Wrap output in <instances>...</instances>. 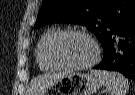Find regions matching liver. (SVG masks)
<instances>
[{
  "mask_svg": "<svg viewBox=\"0 0 135 95\" xmlns=\"http://www.w3.org/2000/svg\"><path fill=\"white\" fill-rule=\"evenodd\" d=\"M66 73H56V74H44L41 77L34 80L31 85L30 95H39L43 90H45L51 83L62 78Z\"/></svg>",
  "mask_w": 135,
  "mask_h": 95,
  "instance_id": "obj_1",
  "label": "liver"
}]
</instances>
